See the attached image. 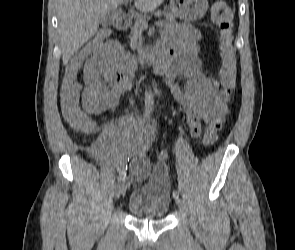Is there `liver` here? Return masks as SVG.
I'll return each mask as SVG.
<instances>
[{
	"mask_svg": "<svg viewBox=\"0 0 295 250\" xmlns=\"http://www.w3.org/2000/svg\"><path fill=\"white\" fill-rule=\"evenodd\" d=\"M123 0H58L57 13L59 36L66 65L76 53L98 31L99 24L108 12L115 10ZM164 0H135V7L149 13Z\"/></svg>",
	"mask_w": 295,
	"mask_h": 250,
	"instance_id": "1",
	"label": "liver"
}]
</instances>
